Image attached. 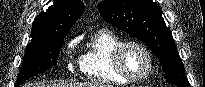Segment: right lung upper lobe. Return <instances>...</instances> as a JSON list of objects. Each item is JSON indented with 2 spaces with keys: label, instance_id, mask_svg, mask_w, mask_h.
I'll use <instances>...</instances> for the list:
<instances>
[{
  "label": "right lung upper lobe",
  "instance_id": "right-lung-upper-lobe-1",
  "mask_svg": "<svg viewBox=\"0 0 205 87\" xmlns=\"http://www.w3.org/2000/svg\"><path fill=\"white\" fill-rule=\"evenodd\" d=\"M81 0H56L33 21L32 40L67 35L71 26L84 12Z\"/></svg>",
  "mask_w": 205,
  "mask_h": 87
}]
</instances>
